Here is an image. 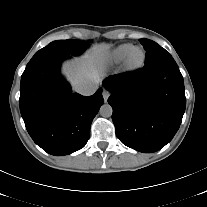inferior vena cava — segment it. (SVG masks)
<instances>
[{"instance_id":"obj_1","label":"inferior vena cava","mask_w":207,"mask_h":207,"mask_svg":"<svg viewBox=\"0 0 207 207\" xmlns=\"http://www.w3.org/2000/svg\"><path fill=\"white\" fill-rule=\"evenodd\" d=\"M98 86L99 82L96 80H85L75 85L74 89L81 95L89 96L95 93Z\"/></svg>"}]
</instances>
